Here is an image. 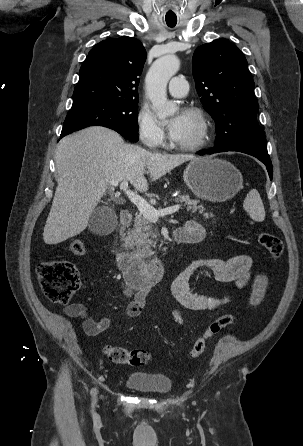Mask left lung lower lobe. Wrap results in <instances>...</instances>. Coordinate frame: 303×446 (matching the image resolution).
I'll use <instances>...</instances> for the list:
<instances>
[{
	"label": "left lung lower lobe",
	"instance_id": "obj_1",
	"mask_svg": "<svg viewBox=\"0 0 303 446\" xmlns=\"http://www.w3.org/2000/svg\"><path fill=\"white\" fill-rule=\"evenodd\" d=\"M226 151H239V152L246 153V154H249V155H252V156L256 157L257 159H259L261 162H263L266 165L267 171H268L269 176H270V179H272L273 170H272V163H271V160L269 158V155H261V154H257V153L251 152V151L235 149V148H230V149H227V150H216V149L208 150V151L202 150V151H199L198 153L201 154V155H204V154H213V153L226 152Z\"/></svg>",
	"mask_w": 303,
	"mask_h": 446
}]
</instances>
